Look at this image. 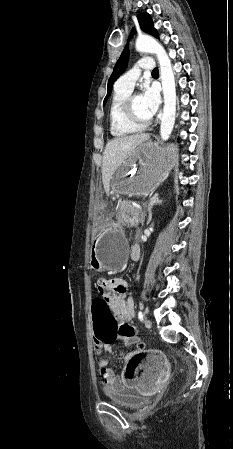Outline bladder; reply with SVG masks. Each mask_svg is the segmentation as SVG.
I'll return each mask as SVG.
<instances>
[{
	"label": "bladder",
	"instance_id": "bladder-1",
	"mask_svg": "<svg viewBox=\"0 0 233 449\" xmlns=\"http://www.w3.org/2000/svg\"><path fill=\"white\" fill-rule=\"evenodd\" d=\"M105 395L111 403L123 409H135L148 403V398L142 397L134 389L112 387L105 390Z\"/></svg>",
	"mask_w": 233,
	"mask_h": 449
}]
</instances>
